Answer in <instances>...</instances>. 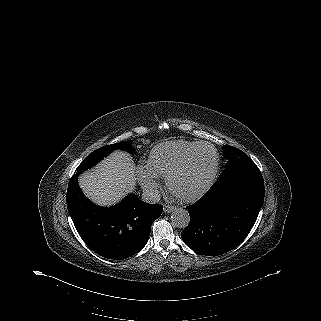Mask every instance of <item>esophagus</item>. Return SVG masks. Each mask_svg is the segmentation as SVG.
Returning <instances> with one entry per match:
<instances>
[{"label":"esophagus","instance_id":"esophagus-1","mask_svg":"<svg viewBox=\"0 0 321 321\" xmlns=\"http://www.w3.org/2000/svg\"><path fill=\"white\" fill-rule=\"evenodd\" d=\"M175 209H176V207H175V206H172V205H165V206H164V212H165V213H171V212H173Z\"/></svg>","mask_w":321,"mask_h":321}]
</instances>
